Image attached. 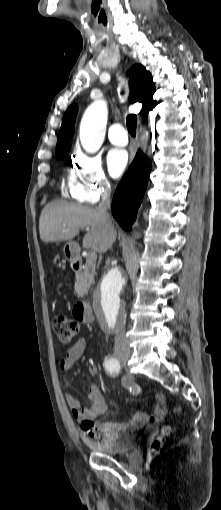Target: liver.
I'll return each mask as SVG.
<instances>
[{
    "label": "liver",
    "instance_id": "obj_1",
    "mask_svg": "<svg viewBox=\"0 0 221 510\" xmlns=\"http://www.w3.org/2000/svg\"><path fill=\"white\" fill-rule=\"evenodd\" d=\"M82 227L88 229L83 238L86 249L104 253L116 240L114 227H106L97 210L89 206L52 201L43 208L39 219L40 238L45 243L71 240Z\"/></svg>",
    "mask_w": 221,
    "mask_h": 510
}]
</instances>
